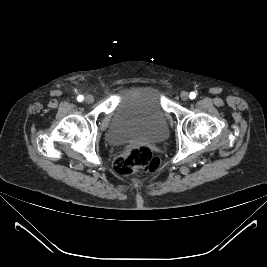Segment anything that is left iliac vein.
<instances>
[{
    "mask_svg": "<svg viewBox=\"0 0 267 267\" xmlns=\"http://www.w3.org/2000/svg\"><path fill=\"white\" fill-rule=\"evenodd\" d=\"M180 97L183 101H186L189 98V94L187 92L183 91V92H181Z\"/></svg>",
    "mask_w": 267,
    "mask_h": 267,
    "instance_id": "left-iliac-vein-1",
    "label": "left iliac vein"
}]
</instances>
